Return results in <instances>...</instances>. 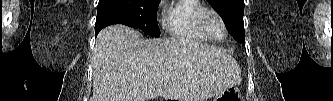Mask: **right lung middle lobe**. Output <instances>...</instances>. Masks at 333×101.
Segmentation results:
<instances>
[{
    "instance_id": "obj_1",
    "label": "right lung middle lobe",
    "mask_w": 333,
    "mask_h": 101,
    "mask_svg": "<svg viewBox=\"0 0 333 101\" xmlns=\"http://www.w3.org/2000/svg\"><path fill=\"white\" fill-rule=\"evenodd\" d=\"M129 16L132 27L154 37L160 36L157 24V8L161 0H112ZM106 0H99V4Z\"/></svg>"
}]
</instances>
